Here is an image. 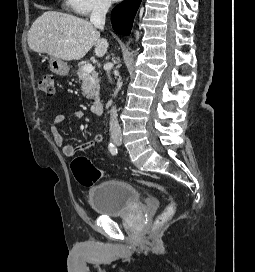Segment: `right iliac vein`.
Masks as SVG:
<instances>
[{
  "mask_svg": "<svg viewBox=\"0 0 255 272\" xmlns=\"http://www.w3.org/2000/svg\"><path fill=\"white\" fill-rule=\"evenodd\" d=\"M118 139V137L116 136L115 138H114V141H116Z\"/></svg>",
  "mask_w": 255,
  "mask_h": 272,
  "instance_id": "1",
  "label": "right iliac vein"
}]
</instances>
